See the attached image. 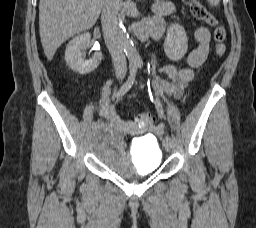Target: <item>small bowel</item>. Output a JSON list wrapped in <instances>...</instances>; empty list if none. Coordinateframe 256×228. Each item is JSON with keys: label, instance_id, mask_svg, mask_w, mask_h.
Listing matches in <instances>:
<instances>
[{"label": "small bowel", "instance_id": "obj_1", "mask_svg": "<svg viewBox=\"0 0 256 228\" xmlns=\"http://www.w3.org/2000/svg\"><path fill=\"white\" fill-rule=\"evenodd\" d=\"M175 8L172 3L165 1H157L154 4L155 16L151 23L159 26L162 31L164 30L163 18L172 14ZM194 38L198 45L193 49L188 57L187 64L189 67H179L174 64H167L158 66L156 60H154V67L159 74H164L168 80L163 79L159 75L155 77L157 85L165 90L169 95L179 99L187 87L188 83L194 78L193 68L201 66L207 59L210 48L211 34L210 31L203 26L196 28L194 32ZM110 91L107 89L104 92L101 115L115 127H122L125 125V121L120 117L116 105L110 104L109 101ZM154 132H162V126H157L152 129Z\"/></svg>", "mask_w": 256, "mask_h": 228}]
</instances>
